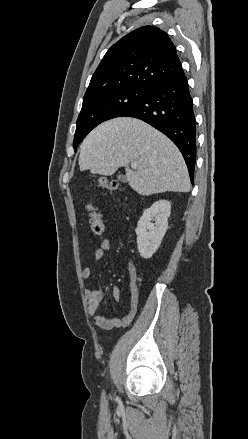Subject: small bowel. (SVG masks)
Returning a JSON list of instances; mask_svg holds the SVG:
<instances>
[{
	"mask_svg": "<svg viewBox=\"0 0 248 439\" xmlns=\"http://www.w3.org/2000/svg\"><path fill=\"white\" fill-rule=\"evenodd\" d=\"M112 247L110 240L105 239L101 242L99 248H97L93 254L94 262L101 261L105 253L109 251ZM93 273V266L85 267L82 271V277L88 279ZM138 277L136 269L133 264H129V290H130V303L127 313L120 318H107L98 313L100 303L107 296L106 291L99 286L98 288H87L84 291L85 298L88 303V312L92 317L94 323L103 329H113L117 327L128 326L134 319L139 302V288H138ZM112 298L116 301L120 299V289L118 286H113L110 292Z\"/></svg>",
	"mask_w": 248,
	"mask_h": 439,
	"instance_id": "small-bowel-1",
	"label": "small bowel"
}]
</instances>
